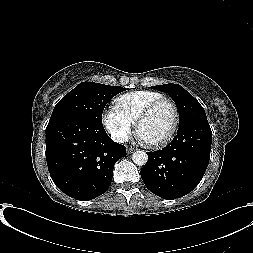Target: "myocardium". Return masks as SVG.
Returning a JSON list of instances; mask_svg holds the SVG:
<instances>
[{
	"instance_id": "obj_1",
	"label": "myocardium",
	"mask_w": 253,
	"mask_h": 253,
	"mask_svg": "<svg viewBox=\"0 0 253 253\" xmlns=\"http://www.w3.org/2000/svg\"><path fill=\"white\" fill-rule=\"evenodd\" d=\"M163 103H168L172 107L173 112H174V122H173L171 130L163 139L155 143H147L150 147H153V148H161V147L166 146L168 143L171 142V140L176 135L177 130L179 128V124H180V113H179L178 106L172 99L167 98V97H162V98L152 101L147 106H145L144 109L140 112L136 120V132L139 134V129L143 121L154 111L156 107H158L159 105Z\"/></svg>"
}]
</instances>
